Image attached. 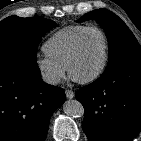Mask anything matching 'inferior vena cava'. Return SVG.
Listing matches in <instances>:
<instances>
[{
    "label": "inferior vena cava",
    "mask_w": 141,
    "mask_h": 141,
    "mask_svg": "<svg viewBox=\"0 0 141 141\" xmlns=\"http://www.w3.org/2000/svg\"><path fill=\"white\" fill-rule=\"evenodd\" d=\"M42 79L45 83L51 84V85H56L60 81V79L56 75L51 73H43Z\"/></svg>",
    "instance_id": "obj_1"
}]
</instances>
